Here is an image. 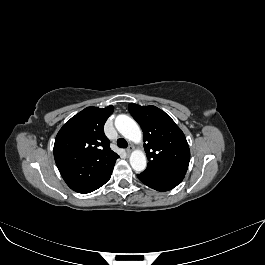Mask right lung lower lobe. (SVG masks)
Returning <instances> with one entry per match:
<instances>
[{
    "label": "right lung lower lobe",
    "mask_w": 265,
    "mask_h": 265,
    "mask_svg": "<svg viewBox=\"0 0 265 265\" xmlns=\"http://www.w3.org/2000/svg\"><path fill=\"white\" fill-rule=\"evenodd\" d=\"M111 173L112 171H110L109 173H107L103 178H101L100 180L96 181L95 183H93L92 185L88 186L87 188L78 191L79 193H90L98 188H100L101 186H103L105 183L108 182V180L111 177Z\"/></svg>",
    "instance_id": "98d812e1"
}]
</instances>
